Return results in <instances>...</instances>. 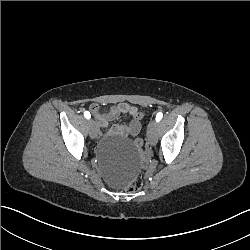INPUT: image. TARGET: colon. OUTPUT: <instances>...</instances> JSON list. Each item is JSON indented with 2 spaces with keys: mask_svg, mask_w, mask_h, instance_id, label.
Listing matches in <instances>:
<instances>
[{
  "mask_svg": "<svg viewBox=\"0 0 250 250\" xmlns=\"http://www.w3.org/2000/svg\"><path fill=\"white\" fill-rule=\"evenodd\" d=\"M143 113L142 112H137V113H134L133 114V119L134 120H141L142 118H143ZM134 144L135 145H137V146H141V145H143L144 144V139L143 138H135L134 139ZM143 186H144V181H143V179H141V178H136V179H134L133 181H132V183H131V185L129 186H126L125 187V192L126 193H131L132 191H134V192H139V191H141L142 190V188H143Z\"/></svg>",
  "mask_w": 250,
  "mask_h": 250,
  "instance_id": "colon-1",
  "label": "colon"
}]
</instances>
